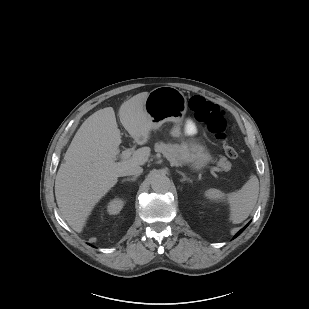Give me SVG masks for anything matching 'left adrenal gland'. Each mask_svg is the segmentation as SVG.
<instances>
[{
  "instance_id": "1",
  "label": "left adrenal gland",
  "mask_w": 309,
  "mask_h": 309,
  "mask_svg": "<svg viewBox=\"0 0 309 309\" xmlns=\"http://www.w3.org/2000/svg\"><path fill=\"white\" fill-rule=\"evenodd\" d=\"M177 173H179L180 175H182V179L180 180L181 182H184V181H188L190 183H192V180L190 178H188L183 172L181 171H177Z\"/></svg>"
}]
</instances>
